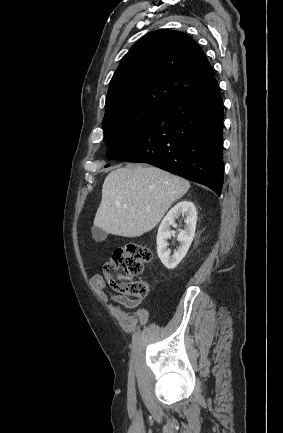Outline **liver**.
Returning <instances> with one entry per match:
<instances>
[{
  "label": "liver",
  "mask_w": 283,
  "mask_h": 433,
  "mask_svg": "<svg viewBox=\"0 0 283 433\" xmlns=\"http://www.w3.org/2000/svg\"><path fill=\"white\" fill-rule=\"evenodd\" d=\"M188 188L189 180L149 164L111 170L103 182L94 227L119 237H141Z\"/></svg>",
  "instance_id": "6515ba94"
}]
</instances>
